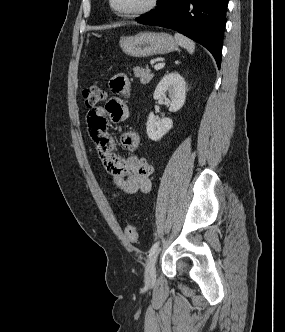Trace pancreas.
I'll return each mask as SVG.
<instances>
[{
    "label": "pancreas",
    "mask_w": 285,
    "mask_h": 332,
    "mask_svg": "<svg viewBox=\"0 0 285 332\" xmlns=\"http://www.w3.org/2000/svg\"><path fill=\"white\" fill-rule=\"evenodd\" d=\"M133 71L135 77L140 79L141 84H148L153 78V74L151 73L150 69H148V67H146V69L134 67Z\"/></svg>",
    "instance_id": "obj_1"
}]
</instances>
